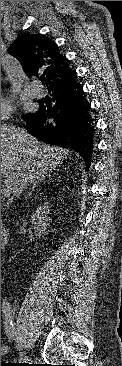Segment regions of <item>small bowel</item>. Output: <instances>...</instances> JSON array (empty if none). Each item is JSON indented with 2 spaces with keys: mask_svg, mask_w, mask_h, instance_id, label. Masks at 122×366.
I'll use <instances>...</instances> for the list:
<instances>
[{
  "mask_svg": "<svg viewBox=\"0 0 122 366\" xmlns=\"http://www.w3.org/2000/svg\"><path fill=\"white\" fill-rule=\"evenodd\" d=\"M7 351V347L6 346H1V356H3Z\"/></svg>",
  "mask_w": 122,
  "mask_h": 366,
  "instance_id": "obj_1",
  "label": "small bowel"
}]
</instances>
